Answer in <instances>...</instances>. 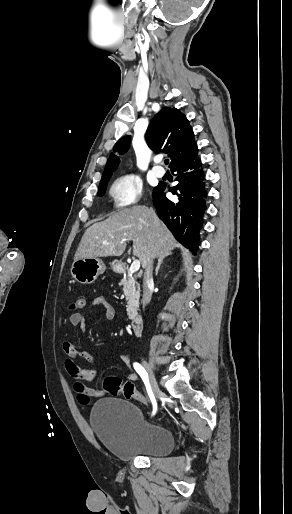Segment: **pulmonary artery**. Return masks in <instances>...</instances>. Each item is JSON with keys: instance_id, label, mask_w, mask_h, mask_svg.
I'll return each mask as SVG.
<instances>
[{"instance_id": "e3ab8cb5", "label": "pulmonary artery", "mask_w": 292, "mask_h": 514, "mask_svg": "<svg viewBox=\"0 0 292 514\" xmlns=\"http://www.w3.org/2000/svg\"><path fill=\"white\" fill-rule=\"evenodd\" d=\"M154 174H155V176H157V177H162V176L164 175V172H163V171H161V170H157V169H155V170H154Z\"/></svg>"}]
</instances>
